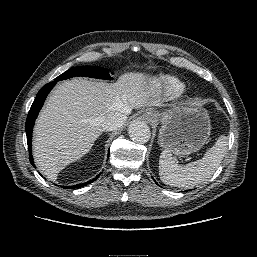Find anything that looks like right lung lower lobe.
I'll return each instance as SVG.
<instances>
[{"label":"right lung lower lobe","instance_id":"98d812e1","mask_svg":"<svg viewBox=\"0 0 257 257\" xmlns=\"http://www.w3.org/2000/svg\"><path fill=\"white\" fill-rule=\"evenodd\" d=\"M55 84H56V81H53V82L46 84L45 86H43L40 89V91L38 92L32 106L30 108V111L28 113V117L26 120L25 129H26L27 144H28V149H29V159H30L31 164L34 167H35V165L33 162V157H32V152H31L32 130H33L34 122H35V119H36L41 107L43 106V103H44L48 93L50 92V90L53 88V86ZM99 175L86 183H82V184H78V185H74V186H64V188L69 189V188H80V187L86 186L87 184H90L93 181H95L99 177Z\"/></svg>","mask_w":257,"mask_h":257}]
</instances>
